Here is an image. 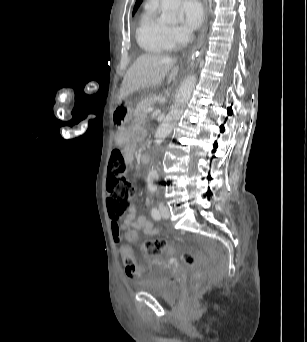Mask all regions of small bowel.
Masks as SVG:
<instances>
[{
	"label": "small bowel",
	"mask_w": 307,
	"mask_h": 342,
	"mask_svg": "<svg viewBox=\"0 0 307 342\" xmlns=\"http://www.w3.org/2000/svg\"><path fill=\"white\" fill-rule=\"evenodd\" d=\"M124 225H139V229H143L144 233H148V236L157 235L159 229L154 226V224L149 221L144 216L136 217V210L131 208L128 216L124 220L123 225L117 222L112 223L111 232L114 242H119L123 237H125Z\"/></svg>",
	"instance_id": "obj_1"
}]
</instances>
